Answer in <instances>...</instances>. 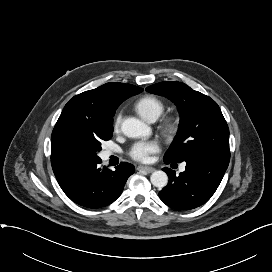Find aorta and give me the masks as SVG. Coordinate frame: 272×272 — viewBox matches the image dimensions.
<instances>
[{"label":"aorta","mask_w":272,"mask_h":272,"mask_svg":"<svg viewBox=\"0 0 272 272\" xmlns=\"http://www.w3.org/2000/svg\"><path fill=\"white\" fill-rule=\"evenodd\" d=\"M121 130L127 137H147L151 134V128L142 121L130 117L126 118L121 125ZM151 183L157 188H163L168 183V176L162 170H157L150 177Z\"/></svg>","instance_id":"aorta-1"}]
</instances>
